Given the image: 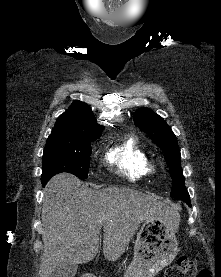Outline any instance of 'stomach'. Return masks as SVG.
Here are the masks:
<instances>
[{
    "mask_svg": "<svg viewBox=\"0 0 221 277\" xmlns=\"http://www.w3.org/2000/svg\"><path fill=\"white\" fill-rule=\"evenodd\" d=\"M179 214L158 216L143 222L135 241L134 255L124 277H154L176 257Z\"/></svg>",
    "mask_w": 221,
    "mask_h": 277,
    "instance_id": "stomach-1",
    "label": "stomach"
}]
</instances>
